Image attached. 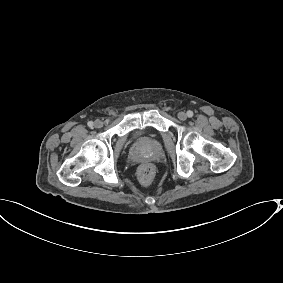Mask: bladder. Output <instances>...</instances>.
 Segmentation results:
<instances>
[{"label":"bladder","mask_w":283,"mask_h":283,"mask_svg":"<svg viewBox=\"0 0 283 283\" xmlns=\"http://www.w3.org/2000/svg\"><path fill=\"white\" fill-rule=\"evenodd\" d=\"M133 139H134V135H132V136L130 137V140H131V141H133Z\"/></svg>","instance_id":"31cf9c89"}]
</instances>
